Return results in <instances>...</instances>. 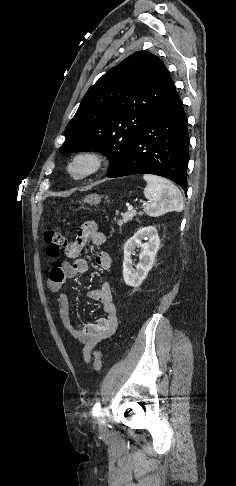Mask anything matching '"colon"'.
<instances>
[{
    "label": "colon",
    "instance_id": "colon-1",
    "mask_svg": "<svg viewBox=\"0 0 236 486\" xmlns=\"http://www.w3.org/2000/svg\"><path fill=\"white\" fill-rule=\"evenodd\" d=\"M47 251L50 256L58 255L67 244L66 237L56 230L48 231L45 235ZM93 368L96 372L102 369V354L99 350L93 351Z\"/></svg>",
    "mask_w": 236,
    "mask_h": 486
}]
</instances>
